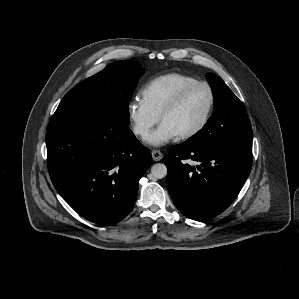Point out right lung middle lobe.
<instances>
[{
  "mask_svg": "<svg viewBox=\"0 0 299 299\" xmlns=\"http://www.w3.org/2000/svg\"><path fill=\"white\" fill-rule=\"evenodd\" d=\"M134 61H117L72 88L50 118V125H76L112 119L129 125V101L144 74Z\"/></svg>",
  "mask_w": 299,
  "mask_h": 299,
  "instance_id": "1",
  "label": "right lung middle lobe"
}]
</instances>
